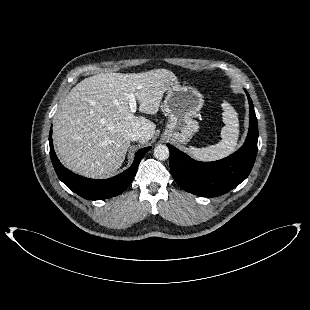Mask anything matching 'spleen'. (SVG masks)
I'll list each match as a JSON object with an SVG mask.
<instances>
[{
  "instance_id": "spleen-1",
  "label": "spleen",
  "mask_w": 310,
  "mask_h": 310,
  "mask_svg": "<svg viewBox=\"0 0 310 310\" xmlns=\"http://www.w3.org/2000/svg\"><path fill=\"white\" fill-rule=\"evenodd\" d=\"M222 119L225 126L221 129V141L205 148H188V152L200 161H215L234 152L239 137V120L235 109L227 102L222 103Z\"/></svg>"
}]
</instances>
